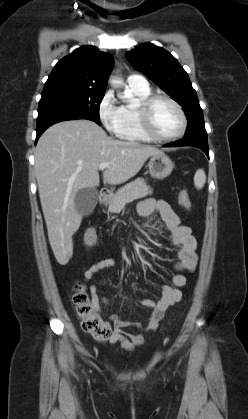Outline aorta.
<instances>
[{
  "instance_id": "1",
  "label": "aorta",
  "mask_w": 248,
  "mask_h": 419,
  "mask_svg": "<svg viewBox=\"0 0 248 419\" xmlns=\"http://www.w3.org/2000/svg\"><path fill=\"white\" fill-rule=\"evenodd\" d=\"M110 83H111V85L113 87H116L119 84V80L117 78H115V77H112L110 79ZM118 97L121 98V99H124L125 102H129L130 101V100H127L124 96L118 95Z\"/></svg>"
}]
</instances>
